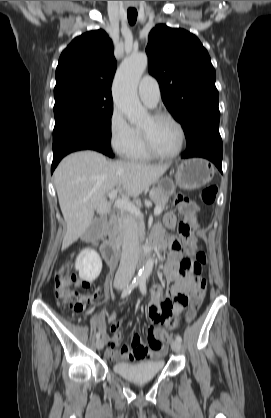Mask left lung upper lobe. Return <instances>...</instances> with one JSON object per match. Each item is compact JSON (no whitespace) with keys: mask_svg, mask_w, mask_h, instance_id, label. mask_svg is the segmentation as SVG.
Segmentation results:
<instances>
[{"mask_svg":"<svg viewBox=\"0 0 271 418\" xmlns=\"http://www.w3.org/2000/svg\"><path fill=\"white\" fill-rule=\"evenodd\" d=\"M149 71L162 99L181 124L187 145L203 133L219 132L216 73L199 39L184 29L157 25L149 34Z\"/></svg>","mask_w":271,"mask_h":418,"instance_id":"obj_1","label":"left lung upper lobe"}]
</instances>
